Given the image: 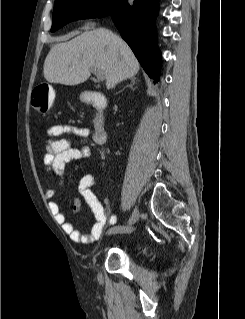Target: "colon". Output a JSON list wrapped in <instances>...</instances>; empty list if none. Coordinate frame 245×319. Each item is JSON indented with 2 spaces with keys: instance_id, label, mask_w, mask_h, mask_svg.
Wrapping results in <instances>:
<instances>
[{
  "instance_id": "colon-1",
  "label": "colon",
  "mask_w": 245,
  "mask_h": 319,
  "mask_svg": "<svg viewBox=\"0 0 245 319\" xmlns=\"http://www.w3.org/2000/svg\"><path fill=\"white\" fill-rule=\"evenodd\" d=\"M54 90L47 84L42 83L35 87L32 93V107L37 115H46L54 101Z\"/></svg>"
}]
</instances>
